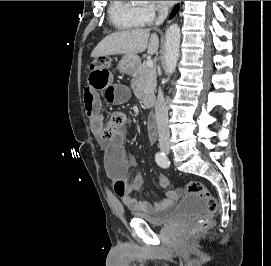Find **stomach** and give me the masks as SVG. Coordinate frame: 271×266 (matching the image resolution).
I'll list each match as a JSON object with an SVG mask.
<instances>
[{
	"label": "stomach",
	"mask_w": 271,
	"mask_h": 266,
	"mask_svg": "<svg viewBox=\"0 0 271 266\" xmlns=\"http://www.w3.org/2000/svg\"><path fill=\"white\" fill-rule=\"evenodd\" d=\"M140 59L136 54L127 55L125 54L118 64V69L122 73H128L139 65Z\"/></svg>",
	"instance_id": "stomach-1"
}]
</instances>
